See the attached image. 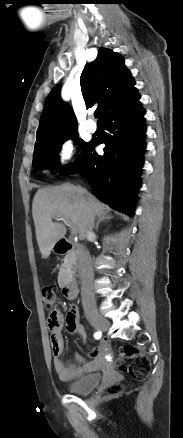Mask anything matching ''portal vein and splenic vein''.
Returning <instances> with one entry per match:
<instances>
[{
    "label": "portal vein and splenic vein",
    "instance_id": "obj_1",
    "mask_svg": "<svg viewBox=\"0 0 183 438\" xmlns=\"http://www.w3.org/2000/svg\"><path fill=\"white\" fill-rule=\"evenodd\" d=\"M56 219H57L58 221H59V220H66L65 218L60 217V216H57ZM72 233H73V234L76 233V230H75L74 227H72Z\"/></svg>",
    "mask_w": 183,
    "mask_h": 438
}]
</instances>
